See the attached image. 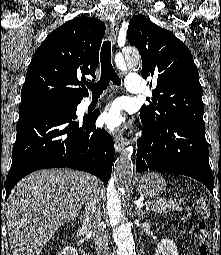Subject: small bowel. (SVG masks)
<instances>
[{
    "label": "small bowel",
    "mask_w": 221,
    "mask_h": 255,
    "mask_svg": "<svg viewBox=\"0 0 221 255\" xmlns=\"http://www.w3.org/2000/svg\"><path fill=\"white\" fill-rule=\"evenodd\" d=\"M185 253H188L189 252V248L187 247L185 250H184Z\"/></svg>",
    "instance_id": "obj_1"
}]
</instances>
